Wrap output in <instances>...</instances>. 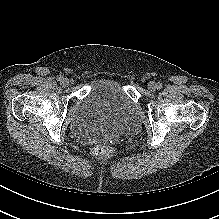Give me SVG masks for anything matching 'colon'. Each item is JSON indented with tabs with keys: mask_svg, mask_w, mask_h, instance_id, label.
Listing matches in <instances>:
<instances>
[{
	"mask_svg": "<svg viewBox=\"0 0 219 219\" xmlns=\"http://www.w3.org/2000/svg\"><path fill=\"white\" fill-rule=\"evenodd\" d=\"M111 153L112 148L107 145H98L92 148V154L98 157H107Z\"/></svg>",
	"mask_w": 219,
	"mask_h": 219,
	"instance_id": "colon-1",
	"label": "colon"
}]
</instances>
